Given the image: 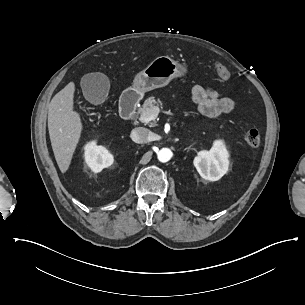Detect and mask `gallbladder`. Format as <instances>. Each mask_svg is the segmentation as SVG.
I'll return each instance as SVG.
<instances>
[{"mask_svg":"<svg viewBox=\"0 0 305 305\" xmlns=\"http://www.w3.org/2000/svg\"><path fill=\"white\" fill-rule=\"evenodd\" d=\"M80 86L85 100L94 106H100L107 100L110 80L103 73L93 72L82 76Z\"/></svg>","mask_w":305,"mask_h":305,"instance_id":"bac80fb5","label":"gallbladder"}]
</instances>
